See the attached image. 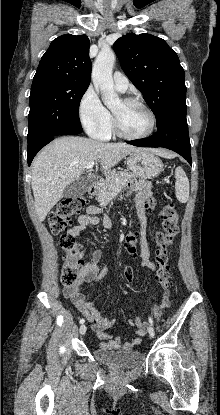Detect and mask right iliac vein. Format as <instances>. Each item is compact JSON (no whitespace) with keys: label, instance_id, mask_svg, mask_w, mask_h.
Instances as JSON below:
<instances>
[{"label":"right iliac vein","instance_id":"1","mask_svg":"<svg viewBox=\"0 0 220 415\" xmlns=\"http://www.w3.org/2000/svg\"><path fill=\"white\" fill-rule=\"evenodd\" d=\"M87 327L85 325H81L79 328V332L81 335H84L86 333Z\"/></svg>","mask_w":220,"mask_h":415}]
</instances>
